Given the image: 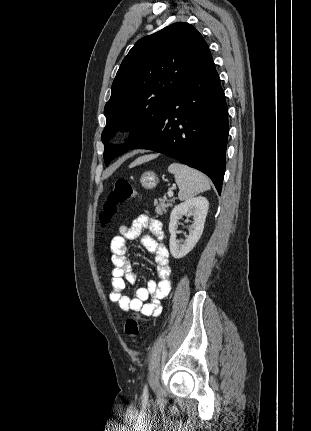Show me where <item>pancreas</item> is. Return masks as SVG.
Wrapping results in <instances>:
<instances>
[{"label": "pancreas", "instance_id": "pancreas-1", "mask_svg": "<svg viewBox=\"0 0 311 431\" xmlns=\"http://www.w3.org/2000/svg\"><path fill=\"white\" fill-rule=\"evenodd\" d=\"M175 200L176 198H172V200H163V198H159V202L158 200H154V206H156L155 212H157L158 216H163V214H167L169 208H171Z\"/></svg>", "mask_w": 311, "mask_h": 431}]
</instances>
